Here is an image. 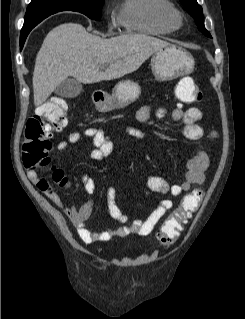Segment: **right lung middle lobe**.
I'll list each match as a JSON object with an SVG mask.
<instances>
[{
  "instance_id": "dd1d6c3e",
  "label": "right lung middle lobe",
  "mask_w": 245,
  "mask_h": 319,
  "mask_svg": "<svg viewBox=\"0 0 245 319\" xmlns=\"http://www.w3.org/2000/svg\"><path fill=\"white\" fill-rule=\"evenodd\" d=\"M104 0H65L62 3H58L55 6L64 7V11H76L81 12L94 20H100L101 18V8ZM31 8H34L35 2H31ZM42 6H50L51 3L44 1L40 3ZM30 5L27 8L26 13H29ZM40 23V22H39ZM24 28V26H23Z\"/></svg>"
}]
</instances>
